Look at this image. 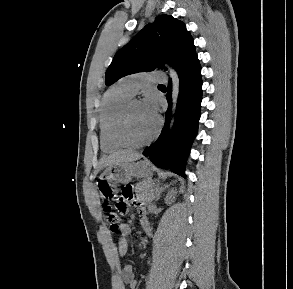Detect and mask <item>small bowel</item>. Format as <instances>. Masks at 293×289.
<instances>
[{
	"mask_svg": "<svg viewBox=\"0 0 293 289\" xmlns=\"http://www.w3.org/2000/svg\"><path fill=\"white\" fill-rule=\"evenodd\" d=\"M141 225L147 235L152 234L150 222L148 220L147 214L144 210L139 212ZM133 236V230L128 223L121 226L119 238H118V251L120 256H125L128 251V239ZM120 282L123 285H127L130 289H135L137 287V280L134 275L133 266L126 264L120 274Z\"/></svg>",
	"mask_w": 293,
	"mask_h": 289,
	"instance_id": "obj_1",
	"label": "small bowel"
}]
</instances>
